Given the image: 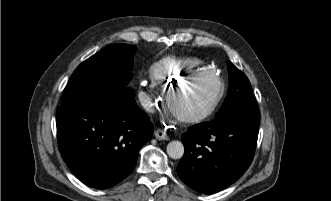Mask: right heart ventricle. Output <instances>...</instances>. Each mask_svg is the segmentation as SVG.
Instances as JSON below:
<instances>
[{
  "instance_id": "obj_1",
  "label": "right heart ventricle",
  "mask_w": 331,
  "mask_h": 201,
  "mask_svg": "<svg viewBox=\"0 0 331 201\" xmlns=\"http://www.w3.org/2000/svg\"><path fill=\"white\" fill-rule=\"evenodd\" d=\"M196 72L209 73L198 58H166L157 62L151 69V76L156 83L167 85Z\"/></svg>"
}]
</instances>
